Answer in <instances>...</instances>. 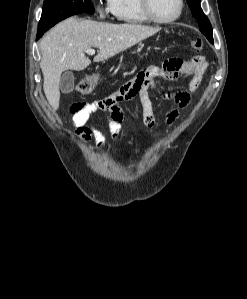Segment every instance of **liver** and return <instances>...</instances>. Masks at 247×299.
Returning a JSON list of instances; mask_svg holds the SVG:
<instances>
[{"instance_id": "6515ba94", "label": "liver", "mask_w": 247, "mask_h": 299, "mask_svg": "<svg viewBox=\"0 0 247 299\" xmlns=\"http://www.w3.org/2000/svg\"><path fill=\"white\" fill-rule=\"evenodd\" d=\"M160 29L138 24L77 20L73 17L57 24L40 43L43 90L53 110L59 107L62 72L82 71L91 64L85 56L87 49H99L94 57V62L98 63L153 36Z\"/></svg>"}]
</instances>
